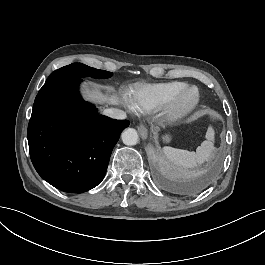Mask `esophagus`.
<instances>
[{
	"mask_svg": "<svg viewBox=\"0 0 265 265\" xmlns=\"http://www.w3.org/2000/svg\"><path fill=\"white\" fill-rule=\"evenodd\" d=\"M137 130L139 131L143 140H146L148 138V130L144 125H138Z\"/></svg>",
	"mask_w": 265,
	"mask_h": 265,
	"instance_id": "1",
	"label": "esophagus"
}]
</instances>
